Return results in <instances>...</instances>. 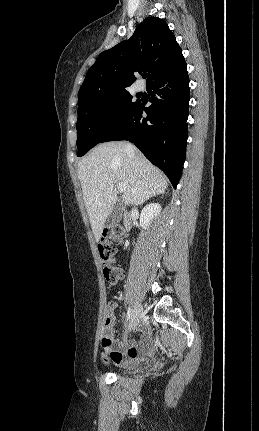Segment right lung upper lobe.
Listing matches in <instances>:
<instances>
[{
	"label": "right lung upper lobe",
	"instance_id": "cb5924a9",
	"mask_svg": "<svg viewBox=\"0 0 259 431\" xmlns=\"http://www.w3.org/2000/svg\"><path fill=\"white\" fill-rule=\"evenodd\" d=\"M184 63L167 23L157 17L146 18L128 40L98 56L79 90V102L89 95L126 89L136 80V72L147 71L149 85Z\"/></svg>",
	"mask_w": 259,
	"mask_h": 431
}]
</instances>
